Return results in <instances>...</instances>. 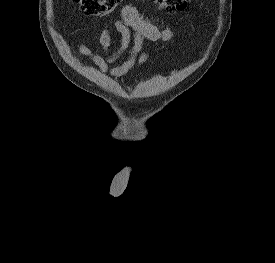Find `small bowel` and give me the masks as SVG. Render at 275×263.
Masks as SVG:
<instances>
[{
	"label": "small bowel",
	"instance_id": "1",
	"mask_svg": "<svg viewBox=\"0 0 275 263\" xmlns=\"http://www.w3.org/2000/svg\"><path fill=\"white\" fill-rule=\"evenodd\" d=\"M114 26L121 35V46L116 53L111 55L108 53L111 45L108 28H103L99 36L105 55L94 53L85 44L78 45L80 54L88 57L101 73L108 74L112 78H120L126 75L135 64L143 65L147 62L149 55L147 53L140 55L145 41L166 42L173 35L171 29L162 28L157 21L143 18L130 4L122 7L121 18L115 21ZM131 41L133 44L129 48ZM128 49V57L121 64H117ZM112 65L114 66L111 67Z\"/></svg>",
	"mask_w": 275,
	"mask_h": 263
}]
</instances>
